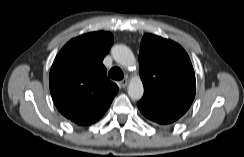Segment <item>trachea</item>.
<instances>
[{"mask_svg":"<svg viewBox=\"0 0 244 157\" xmlns=\"http://www.w3.org/2000/svg\"><path fill=\"white\" fill-rule=\"evenodd\" d=\"M109 77L113 80H121L124 77L122 70L119 67H113L108 73Z\"/></svg>","mask_w":244,"mask_h":157,"instance_id":"3493384b","label":"trachea"}]
</instances>
